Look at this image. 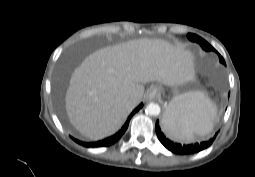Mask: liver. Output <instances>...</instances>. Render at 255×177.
I'll list each match as a JSON object with an SVG mask.
<instances>
[{
    "mask_svg": "<svg viewBox=\"0 0 255 177\" xmlns=\"http://www.w3.org/2000/svg\"><path fill=\"white\" fill-rule=\"evenodd\" d=\"M195 77L182 45L141 38L99 49L84 59L69 81L65 106L71 124L90 140L118 131L140 103L143 84L183 85ZM136 99V104L129 99Z\"/></svg>",
    "mask_w": 255,
    "mask_h": 177,
    "instance_id": "obj_1",
    "label": "liver"
}]
</instances>
